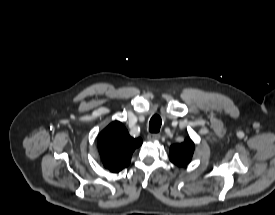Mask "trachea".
Returning <instances> with one entry per match:
<instances>
[{
	"label": "trachea",
	"instance_id": "1",
	"mask_svg": "<svg viewBox=\"0 0 275 215\" xmlns=\"http://www.w3.org/2000/svg\"><path fill=\"white\" fill-rule=\"evenodd\" d=\"M161 124H162L161 117L159 115H154L149 122V131L152 133L159 132Z\"/></svg>",
	"mask_w": 275,
	"mask_h": 215
}]
</instances>
